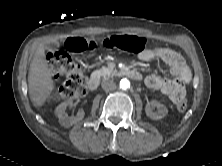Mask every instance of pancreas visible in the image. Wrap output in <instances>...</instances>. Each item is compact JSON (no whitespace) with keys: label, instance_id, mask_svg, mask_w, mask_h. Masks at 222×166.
Here are the masks:
<instances>
[{"label":"pancreas","instance_id":"1","mask_svg":"<svg viewBox=\"0 0 222 166\" xmlns=\"http://www.w3.org/2000/svg\"><path fill=\"white\" fill-rule=\"evenodd\" d=\"M96 73L99 75V76H102L104 78H108V77H111L113 76L116 71L113 70V69H110V68H107V67H102L100 68L99 70H96Z\"/></svg>","mask_w":222,"mask_h":166}]
</instances>
